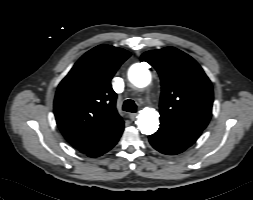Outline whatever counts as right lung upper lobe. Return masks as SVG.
Segmentation results:
<instances>
[{
    "mask_svg": "<svg viewBox=\"0 0 253 200\" xmlns=\"http://www.w3.org/2000/svg\"><path fill=\"white\" fill-rule=\"evenodd\" d=\"M129 57L124 49L99 45L85 53L58 86L57 125L65 139L85 154L105 147L123 132L110 81Z\"/></svg>",
    "mask_w": 253,
    "mask_h": 200,
    "instance_id": "1",
    "label": "right lung upper lobe"
}]
</instances>
